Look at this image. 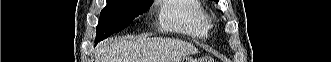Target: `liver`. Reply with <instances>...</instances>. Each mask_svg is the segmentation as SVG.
I'll return each mask as SVG.
<instances>
[{
    "label": "liver",
    "instance_id": "1",
    "mask_svg": "<svg viewBox=\"0 0 331 62\" xmlns=\"http://www.w3.org/2000/svg\"><path fill=\"white\" fill-rule=\"evenodd\" d=\"M97 51L96 62H178L197 49L191 43L173 38L120 37L103 42Z\"/></svg>",
    "mask_w": 331,
    "mask_h": 62
}]
</instances>
